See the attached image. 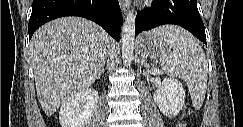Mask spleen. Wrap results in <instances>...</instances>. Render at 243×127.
<instances>
[{"label": "spleen", "mask_w": 243, "mask_h": 127, "mask_svg": "<svg viewBox=\"0 0 243 127\" xmlns=\"http://www.w3.org/2000/svg\"><path fill=\"white\" fill-rule=\"evenodd\" d=\"M159 35L168 43L169 51L162 55L160 63L165 72L183 79L189 88L192 103L202 106L206 88L208 62L196 39L176 26H164Z\"/></svg>", "instance_id": "spleen-1"}]
</instances>
